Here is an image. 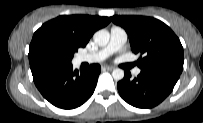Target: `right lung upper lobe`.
Segmentation results:
<instances>
[{
  "mask_svg": "<svg viewBox=\"0 0 203 123\" xmlns=\"http://www.w3.org/2000/svg\"><path fill=\"white\" fill-rule=\"evenodd\" d=\"M110 22L108 17L89 15H63L52 19L42 26L55 27L67 34L78 47H85L95 31Z\"/></svg>",
  "mask_w": 203,
  "mask_h": 123,
  "instance_id": "cb5924a9",
  "label": "right lung upper lobe"
}]
</instances>
